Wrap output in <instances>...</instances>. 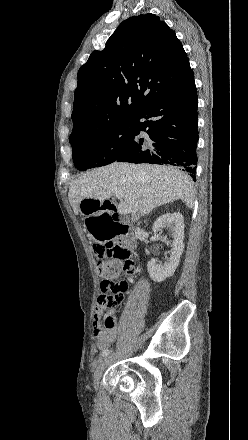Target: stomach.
<instances>
[{"label":"stomach","instance_id":"stomach-1","mask_svg":"<svg viewBox=\"0 0 248 440\" xmlns=\"http://www.w3.org/2000/svg\"><path fill=\"white\" fill-rule=\"evenodd\" d=\"M95 200V199H92ZM83 201L87 202V199ZM81 205V216L87 218V232L92 237V246H107L108 241H116L117 231L112 228L110 210L105 209L101 201H90Z\"/></svg>","mask_w":248,"mask_h":440}]
</instances>
